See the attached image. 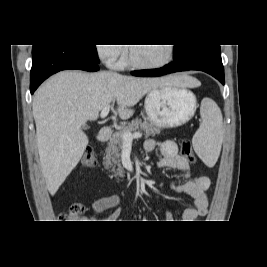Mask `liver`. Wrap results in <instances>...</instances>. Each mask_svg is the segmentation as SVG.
Returning a JSON list of instances; mask_svg holds the SVG:
<instances>
[{"instance_id": "6515ba94", "label": "liver", "mask_w": 267, "mask_h": 267, "mask_svg": "<svg viewBox=\"0 0 267 267\" xmlns=\"http://www.w3.org/2000/svg\"><path fill=\"white\" fill-rule=\"evenodd\" d=\"M198 87L187 75L137 78L115 72L62 71L36 91L32 109L37 147L46 186L53 196L80 161L88 137L82 131L87 120L116 100L119 117L130 118L132 109L151 90L164 86Z\"/></svg>"}]
</instances>
